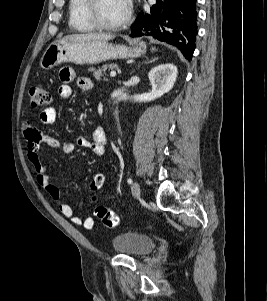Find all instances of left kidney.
<instances>
[{
    "instance_id": "left-kidney-1",
    "label": "left kidney",
    "mask_w": 267,
    "mask_h": 301,
    "mask_svg": "<svg viewBox=\"0 0 267 301\" xmlns=\"http://www.w3.org/2000/svg\"><path fill=\"white\" fill-rule=\"evenodd\" d=\"M177 67L173 64H161L154 67L148 74L149 80L152 85V91L150 93L139 96L140 102L153 101L165 93L169 92L177 78ZM113 99L117 101L126 100L128 96L123 90H116L111 94Z\"/></svg>"
}]
</instances>
